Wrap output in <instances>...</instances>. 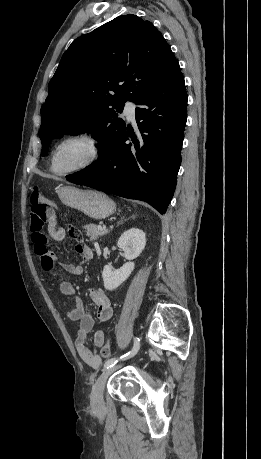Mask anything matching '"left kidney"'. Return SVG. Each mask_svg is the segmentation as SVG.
I'll list each match as a JSON object with an SVG mask.
<instances>
[{
    "instance_id": "1",
    "label": "left kidney",
    "mask_w": 261,
    "mask_h": 459,
    "mask_svg": "<svg viewBox=\"0 0 261 459\" xmlns=\"http://www.w3.org/2000/svg\"><path fill=\"white\" fill-rule=\"evenodd\" d=\"M145 245L146 235L138 228H131L120 236L117 246L123 250L128 262L120 269H113L108 265L104 266L102 278L105 289L112 291L127 280L134 270L135 264L132 261L142 253Z\"/></svg>"
}]
</instances>
